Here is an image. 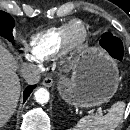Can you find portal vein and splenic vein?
<instances>
[{"instance_id": "obj_1", "label": "portal vein and splenic vein", "mask_w": 130, "mask_h": 130, "mask_svg": "<svg viewBox=\"0 0 130 130\" xmlns=\"http://www.w3.org/2000/svg\"><path fill=\"white\" fill-rule=\"evenodd\" d=\"M98 113H102V109L101 108L98 109Z\"/></svg>"}]
</instances>
